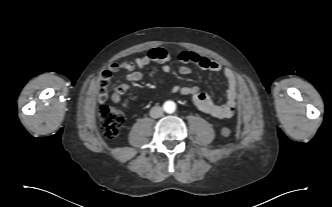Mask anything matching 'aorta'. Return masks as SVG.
<instances>
[{"instance_id": "aorta-1", "label": "aorta", "mask_w": 332, "mask_h": 207, "mask_svg": "<svg viewBox=\"0 0 332 207\" xmlns=\"http://www.w3.org/2000/svg\"><path fill=\"white\" fill-rule=\"evenodd\" d=\"M163 109L167 113H173L176 110V104L173 101H166L163 105Z\"/></svg>"}]
</instances>
